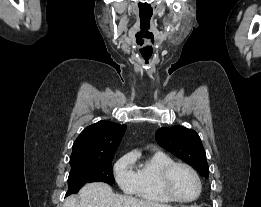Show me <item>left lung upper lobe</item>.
I'll use <instances>...</instances> for the list:
<instances>
[{"label":"left lung upper lobe","mask_w":261,"mask_h":207,"mask_svg":"<svg viewBox=\"0 0 261 207\" xmlns=\"http://www.w3.org/2000/svg\"><path fill=\"white\" fill-rule=\"evenodd\" d=\"M158 144L178 158L190 164L205 178L209 175L206 153L198 134L182 126L160 128L156 132Z\"/></svg>","instance_id":"left-lung-upper-lobe-1"}]
</instances>
